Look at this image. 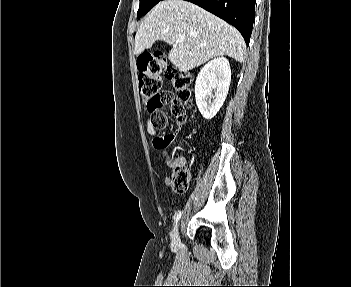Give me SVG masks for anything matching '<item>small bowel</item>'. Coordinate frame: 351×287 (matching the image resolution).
I'll use <instances>...</instances> for the list:
<instances>
[{"label": "small bowel", "mask_w": 351, "mask_h": 287, "mask_svg": "<svg viewBox=\"0 0 351 287\" xmlns=\"http://www.w3.org/2000/svg\"><path fill=\"white\" fill-rule=\"evenodd\" d=\"M185 122H186V117L184 118V121H181V119L177 117V129L173 133H169L164 136H156L157 130L152 126L151 120H147L146 129H147V132L150 135H152L153 148H155V151L161 152L162 148H171V143L175 140L178 132L181 130ZM166 182L170 183L169 178H166Z\"/></svg>", "instance_id": "c3829d8e"}]
</instances>
